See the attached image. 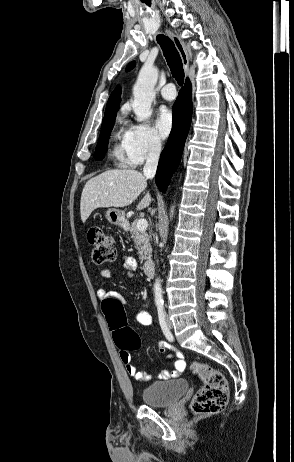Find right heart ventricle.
<instances>
[{
    "instance_id": "e07e8e85",
    "label": "right heart ventricle",
    "mask_w": 294,
    "mask_h": 462,
    "mask_svg": "<svg viewBox=\"0 0 294 462\" xmlns=\"http://www.w3.org/2000/svg\"><path fill=\"white\" fill-rule=\"evenodd\" d=\"M125 137L126 132H124L122 129L116 130L112 137L113 143L110 151V156L114 164L119 167H126L127 165H129V161L126 156L124 146Z\"/></svg>"
}]
</instances>
